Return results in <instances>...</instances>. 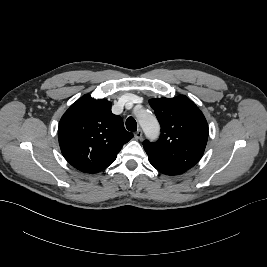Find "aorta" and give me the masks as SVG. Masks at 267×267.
<instances>
[{"instance_id":"762f6f07","label":"aorta","mask_w":267,"mask_h":267,"mask_svg":"<svg viewBox=\"0 0 267 267\" xmlns=\"http://www.w3.org/2000/svg\"><path fill=\"white\" fill-rule=\"evenodd\" d=\"M139 123L148 137H155L159 133V124L156 118L148 111L137 114Z\"/></svg>"}]
</instances>
